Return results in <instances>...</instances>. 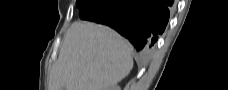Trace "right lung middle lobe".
Returning a JSON list of instances; mask_svg holds the SVG:
<instances>
[{"instance_id": "right-lung-middle-lobe-1", "label": "right lung middle lobe", "mask_w": 228, "mask_h": 90, "mask_svg": "<svg viewBox=\"0 0 228 90\" xmlns=\"http://www.w3.org/2000/svg\"><path fill=\"white\" fill-rule=\"evenodd\" d=\"M103 0H77L76 5L79 8V16H83L88 10L101 6Z\"/></svg>"}]
</instances>
